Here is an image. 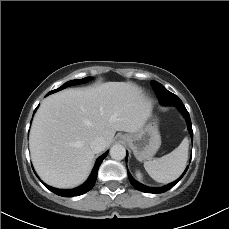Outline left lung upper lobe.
Masks as SVG:
<instances>
[{
  "instance_id": "1",
  "label": "left lung upper lobe",
  "mask_w": 229,
  "mask_h": 229,
  "mask_svg": "<svg viewBox=\"0 0 229 229\" xmlns=\"http://www.w3.org/2000/svg\"><path fill=\"white\" fill-rule=\"evenodd\" d=\"M151 86L154 89L157 98L160 100V102L164 105H179L182 103L179 97H177L175 94L168 91L163 85L156 81H151Z\"/></svg>"
}]
</instances>
